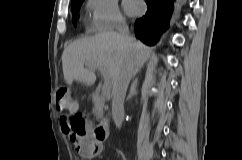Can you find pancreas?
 <instances>
[{"mask_svg":"<svg viewBox=\"0 0 242 160\" xmlns=\"http://www.w3.org/2000/svg\"><path fill=\"white\" fill-rule=\"evenodd\" d=\"M94 111L97 113L96 109ZM96 117H97V119H100L101 118V116L99 114H97Z\"/></svg>","mask_w":242,"mask_h":160,"instance_id":"1","label":"pancreas"}]
</instances>
